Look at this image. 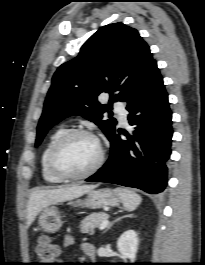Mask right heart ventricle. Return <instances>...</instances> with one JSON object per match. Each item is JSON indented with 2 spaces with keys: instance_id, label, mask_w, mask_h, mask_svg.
I'll return each instance as SVG.
<instances>
[{
  "instance_id": "e07e8e85",
  "label": "right heart ventricle",
  "mask_w": 205,
  "mask_h": 265,
  "mask_svg": "<svg viewBox=\"0 0 205 265\" xmlns=\"http://www.w3.org/2000/svg\"><path fill=\"white\" fill-rule=\"evenodd\" d=\"M67 131V129L65 127H60L57 128L55 131H53L50 136L47 139V142L44 146L42 155H41V174L43 179L47 182V183H51V184H57L60 183L62 180L58 179L57 177H55L49 170L48 166H47V156H48V152L51 148V146L53 145V143L63 134Z\"/></svg>"
}]
</instances>
